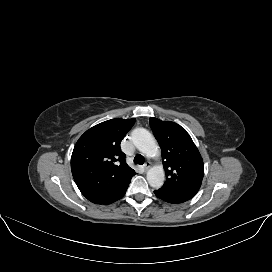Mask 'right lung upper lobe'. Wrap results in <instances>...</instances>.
I'll use <instances>...</instances> for the list:
<instances>
[{
    "label": "right lung upper lobe",
    "instance_id": "obj_1",
    "mask_svg": "<svg viewBox=\"0 0 272 272\" xmlns=\"http://www.w3.org/2000/svg\"><path fill=\"white\" fill-rule=\"evenodd\" d=\"M135 119L115 118L87 130L77 141L71 171L81 193L95 204L121 194L136 173L125 162L120 143Z\"/></svg>",
    "mask_w": 272,
    "mask_h": 272
}]
</instances>
